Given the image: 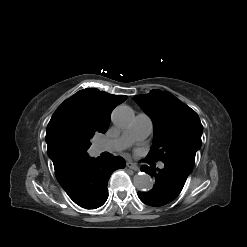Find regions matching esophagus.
I'll use <instances>...</instances> for the list:
<instances>
[{
	"label": "esophagus",
	"mask_w": 247,
	"mask_h": 247,
	"mask_svg": "<svg viewBox=\"0 0 247 247\" xmlns=\"http://www.w3.org/2000/svg\"><path fill=\"white\" fill-rule=\"evenodd\" d=\"M126 165H127L128 168H130L132 170H135V171L138 170V166L135 163H132V162L129 161V162L126 163Z\"/></svg>",
	"instance_id": "34e87169"
}]
</instances>
